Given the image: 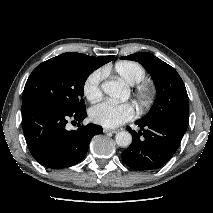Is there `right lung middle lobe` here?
I'll list each match as a JSON object with an SVG mask.
<instances>
[{
  "mask_svg": "<svg viewBox=\"0 0 213 213\" xmlns=\"http://www.w3.org/2000/svg\"><path fill=\"white\" fill-rule=\"evenodd\" d=\"M94 70L93 64L72 53L53 57L32 71L23 99L38 97L69 114L81 113L85 111L84 84Z\"/></svg>",
  "mask_w": 213,
  "mask_h": 213,
  "instance_id": "1",
  "label": "right lung middle lobe"
}]
</instances>
